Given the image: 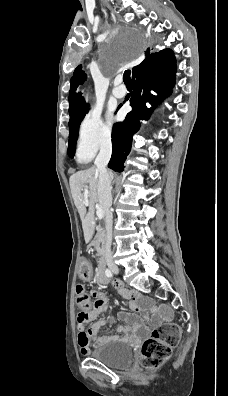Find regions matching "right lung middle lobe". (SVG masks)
<instances>
[{"mask_svg": "<svg viewBox=\"0 0 228 396\" xmlns=\"http://www.w3.org/2000/svg\"><path fill=\"white\" fill-rule=\"evenodd\" d=\"M87 111L88 108L76 112L73 115H70V121H69L70 133H69V144H68V155L70 157H73L74 155L75 146L78 138L79 125L83 120Z\"/></svg>", "mask_w": 228, "mask_h": 396, "instance_id": "obj_1", "label": "right lung middle lobe"}]
</instances>
